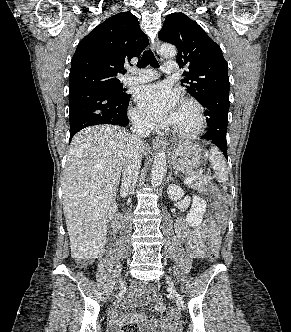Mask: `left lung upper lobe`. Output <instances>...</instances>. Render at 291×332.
<instances>
[{"instance_id":"obj_1","label":"left lung upper lobe","mask_w":291,"mask_h":332,"mask_svg":"<svg viewBox=\"0 0 291 332\" xmlns=\"http://www.w3.org/2000/svg\"><path fill=\"white\" fill-rule=\"evenodd\" d=\"M158 36L177 47V63L189 68L181 86L199 103L211 96L229 97L228 64L221 48L196 22L183 13H171Z\"/></svg>"}]
</instances>
